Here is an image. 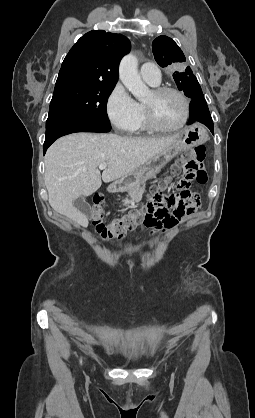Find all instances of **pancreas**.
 Returning <instances> with one entry per match:
<instances>
[{"instance_id":"pancreas-1","label":"pancreas","mask_w":255,"mask_h":418,"mask_svg":"<svg viewBox=\"0 0 255 418\" xmlns=\"http://www.w3.org/2000/svg\"><path fill=\"white\" fill-rule=\"evenodd\" d=\"M144 190H145L144 182L138 183L134 185L133 187L129 188L127 191H128V196L130 197V199L124 200V203L127 205V204H134L136 202H139L142 198Z\"/></svg>"}]
</instances>
